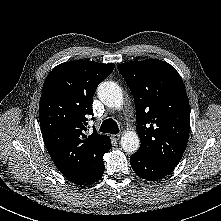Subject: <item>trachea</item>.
I'll return each instance as SVG.
<instances>
[{"instance_id":"3493384b","label":"trachea","mask_w":221,"mask_h":221,"mask_svg":"<svg viewBox=\"0 0 221 221\" xmlns=\"http://www.w3.org/2000/svg\"><path fill=\"white\" fill-rule=\"evenodd\" d=\"M100 131L103 133L117 134L119 133V128L117 123L113 119L109 118L101 124Z\"/></svg>"}]
</instances>
